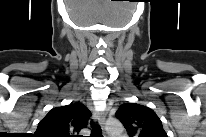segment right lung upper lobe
I'll list each match as a JSON object with an SVG mask.
<instances>
[{
    "label": "right lung upper lobe",
    "mask_w": 206,
    "mask_h": 137,
    "mask_svg": "<svg viewBox=\"0 0 206 137\" xmlns=\"http://www.w3.org/2000/svg\"><path fill=\"white\" fill-rule=\"evenodd\" d=\"M90 111L80 103L56 107L39 122L36 137H74L87 127Z\"/></svg>",
    "instance_id": "obj_1"
}]
</instances>
